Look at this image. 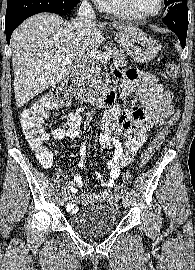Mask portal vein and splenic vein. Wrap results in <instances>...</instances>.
Wrapping results in <instances>:
<instances>
[{"instance_id": "obj_1", "label": "portal vein and splenic vein", "mask_w": 195, "mask_h": 270, "mask_svg": "<svg viewBox=\"0 0 195 270\" xmlns=\"http://www.w3.org/2000/svg\"><path fill=\"white\" fill-rule=\"evenodd\" d=\"M88 58L91 60H108L113 57L111 52L108 53H100L96 50H91L87 52Z\"/></svg>"}]
</instances>
